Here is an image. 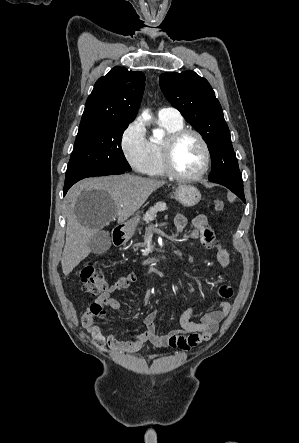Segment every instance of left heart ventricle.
Returning a JSON list of instances; mask_svg holds the SVG:
<instances>
[{
    "label": "left heart ventricle",
    "mask_w": 299,
    "mask_h": 443,
    "mask_svg": "<svg viewBox=\"0 0 299 443\" xmlns=\"http://www.w3.org/2000/svg\"><path fill=\"white\" fill-rule=\"evenodd\" d=\"M203 160L202 146L194 135L183 137L174 150L173 163L182 174H196L201 169Z\"/></svg>",
    "instance_id": "left-heart-ventricle-1"
}]
</instances>
